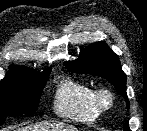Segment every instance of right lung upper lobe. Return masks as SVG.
I'll list each match as a JSON object with an SVG mask.
<instances>
[{"label":"right lung upper lobe","instance_id":"cb5924a9","mask_svg":"<svg viewBox=\"0 0 147 131\" xmlns=\"http://www.w3.org/2000/svg\"><path fill=\"white\" fill-rule=\"evenodd\" d=\"M50 71V69H46L44 72L39 73L33 69H29L26 67H20V66H12L8 72L7 75L9 76H15V75H38V74H44L46 72Z\"/></svg>","mask_w":147,"mask_h":131}]
</instances>
